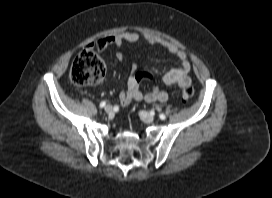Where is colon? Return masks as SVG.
I'll list each match as a JSON object with an SVG mask.
<instances>
[{"label": "colon", "instance_id": "1", "mask_svg": "<svg viewBox=\"0 0 272 198\" xmlns=\"http://www.w3.org/2000/svg\"><path fill=\"white\" fill-rule=\"evenodd\" d=\"M105 66L98 54L91 49H84L75 57L71 70L70 79L76 86H88L99 83L104 77ZM194 90L188 86L182 90L184 100L193 97Z\"/></svg>", "mask_w": 272, "mask_h": 198}]
</instances>
